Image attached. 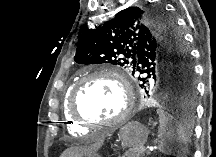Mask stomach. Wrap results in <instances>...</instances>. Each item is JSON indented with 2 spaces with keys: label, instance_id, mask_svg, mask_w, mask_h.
<instances>
[{
  "label": "stomach",
  "instance_id": "obj_1",
  "mask_svg": "<svg viewBox=\"0 0 216 157\" xmlns=\"http://www.w3.org/2000/svg\"><path fill=\"white\" fill-rule=\"evenodd\" d=\"M148 129L138 122H129L122 126L119 130V137L122 142L129 147H138L143 145L148 138ZM86 157H101V154L94 153Z\"/></svg>",
  "mask_w": 216,
  "mask_h": 157
}]
</instances>
